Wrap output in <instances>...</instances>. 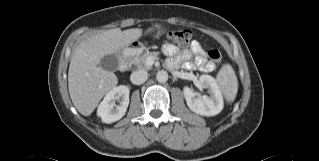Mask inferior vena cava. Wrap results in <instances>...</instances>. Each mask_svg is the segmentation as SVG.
Listing matches in <instances>:
<instances>
[{
  "instance_id": "602c4592",
  "label": "inferior vena cava",
  "mask_w": 319,
  "mask_h": 161,
  "mask_svg": "<svg viewBox=\"0 0 319 161\" xmlns=\"http://www.w3.org/2000/svg\"><path fill=\"white\" fill-rule=\"evenodd\" d=\"M148 78V73L145 70H137L132 72L130 80L135 85L143 84Z\"/></svg>"
}]
</instances>
